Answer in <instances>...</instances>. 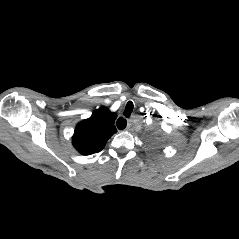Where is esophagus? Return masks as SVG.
Here are the masks:
<instances>
[{
  "label": "esophagus",
  "mask_w": 239,
  "mask_h": 239,
  "mask_svg": "<svg viewBox=\"0 0 239 239\" xmlns=\"http://www.w3.org/2000/svg\"><path fill=\"white\" fill-rule=\"evenodd\" d=\"M116 125L119 130H123L126 127V120L120 117L118 118Z\"/></svg>",
  "instance_id": "obj_1"
}]
</instances>
